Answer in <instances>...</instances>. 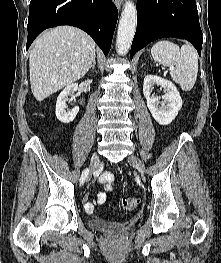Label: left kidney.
Wrapping results in <instances>:
<instances>
[{"mask_svg":"<svg viewBox=\"0 0 221 263\" xmlns=\"http://www.w3.org/2000/svg\"><path fill=\"white\" fill-rule=\"evenodd\" d=\"M154 85L163 88L162 101H160L159 97L151 96V90ZM143 94L152 117L161 125L170 124L182 107V99L176 86L171 81L161 77L147 75L144 78Z\"/></svg>","mask_w":221,"mask_h":263,"instance_id":"5707ae66","label":"left kidney"}]
</instances>
